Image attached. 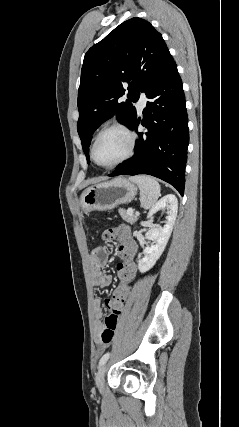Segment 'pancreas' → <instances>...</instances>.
Segmentation results:
<instances>
[{
	"label": "pancreas",
	"instance_id": "1",
	"mask_svg": "<svg viewBox=\"0 0 239 427\" xmlns=\"http://www.w3.org/2000/svg\"><path fill=\"white\" fill-rule=\"evenodd\" d=\"M119 214L121 215V217L123 218V220H125L126 222H128L130 224H134L138 220V216L137 215H135V214H128V212L126 210H124L123 208L119 209Z\"/></svg>",
	"mask_w": 239,
	"mask_h": 427
}]
</instances>
